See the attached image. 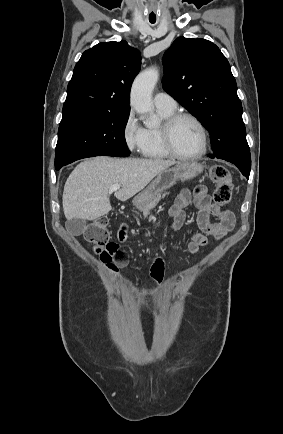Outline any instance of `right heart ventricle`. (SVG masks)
<instances>
[{
  "instance_id": "e07e8e85",
  "label": "right heart ventricle",
  "mask_w": 283,
  "mask_h": 434,
  "mask_svg": "<svg viewBox=\"0 0 283 434\" xmlns=\"http://www.w3.org/2000/svg\"><path fill=\"white\" fill-rule=\"evenodd\" d=\"M160 118L164 121L170 115H172L175 110L167 111L162 109H157ZM160 127H148L145 129V142L142 149V154L146 158L150 159H164L170 155L167 153L163 146Z\"/></svg>"
}]
</instances>
